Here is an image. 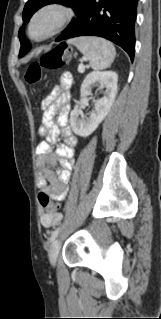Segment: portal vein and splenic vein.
<instances>
[{
  "instance_id": "obj_1",
  "label": "portal vein and splenic vein",
  "mask_w": 161,
  "mask_h": 319,
  "mask_svg": "<svg viewBox=\"0 0 161 319\" xmlns=\"http://www.w3.org/2000/svg\"><path fill=\"white\" fill-rule=\"evenodd\" d=\"M78 71L80 73H83L85 71V67L82 64H80L79 67H78Z\"/></svg>"
}]
</instances>
